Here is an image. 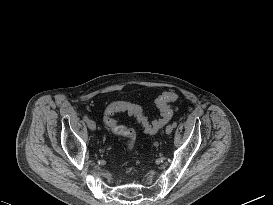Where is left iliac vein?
Returning <instances> with one entry per match:
<instances>
[{"mask_svg":"<svg viewBox=\"0 0 273 205\" xmlns=\"http://www.w3.org/2000/svg\"><path fill=\"white\" fill-rule=\"evenodd\" d=\"M172 130H173V126L172 125H168L166 127V134H170L172 132Z\"/></svg>","mask_w":273,"mask_h":205,"instance_id":"4c4485c4","label":"left iliac vein"}]
</instances>
